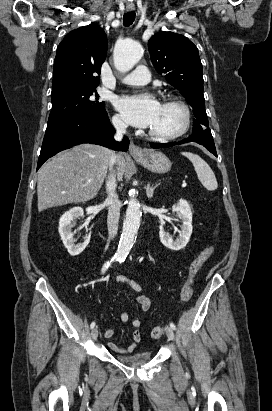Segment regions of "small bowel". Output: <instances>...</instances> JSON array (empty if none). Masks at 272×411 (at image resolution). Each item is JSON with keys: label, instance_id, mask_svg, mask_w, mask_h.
I'll use <instances>...</instances> for the list:
<instances>
[{"label": "small bowel", "instance_id": "small-bowel-1", "mask_svg": "<svg viewBox=\"0 0 272 411\" xmlns=\"http://www.w3.org/2000/svg\"><path fill=\"white\" fill-rule=\"evenodd\" d=\"M115 280L118 283H124L128 285L132 291L137 293L135 297V301L139 305V308L142 312H146L150 309L151 300L148 296L141 294L142 288L137 282H135L133 279H131L128 276H118ZM119 318L121 322L125 323L129 320V314L126 312H122ZM141 324L142 323H141L140 318H135L132 321L133 332L131 335V342L128 346L120 347L116 345L114 342H108V347L111 350L115 352H119V353L127 354V353L133 352L141 340V332H140ZM103 336L106 339H111L114 336V331L112 329H106L103 332Z\"/></svg>", "mask_w": 272, "mask_h": 411}]
</instances>
